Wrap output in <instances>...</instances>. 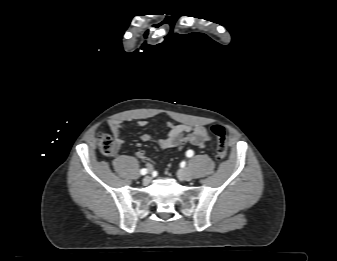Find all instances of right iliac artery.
Returning <instances> with one entry per match:
<instances>
[{
	"label": "right iliac artery",
	"instance_id": "obj_1",
	"mask_svg": "<svg viewBox=\"0 0 337 261\" xmlns=\"http://www.w3.org/2000/svg\"><path fill=\"white\" fill-rule=\"evenodd\" d=\"M140 173H141L142 175H145V174L147 173V169H145V168L141 169Z\"/></svg>",
	"mask_w": 337,
	"mask_h": 261
}]
</instances>
